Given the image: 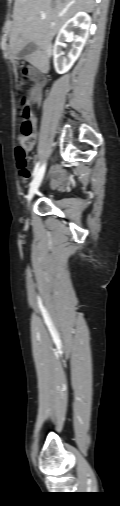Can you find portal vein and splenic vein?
Instances as JSON below:
<instances>
[{
  "instance_id": "obj_1",
  "label": "portal vein and splenic vein",
  "mask_w": 120,
  "mask_h": 506,
  "mask_svg": "<svg viewBox=\"0 0 120 506\" xmlns=\"http://www.w3.org/2000/svg\"><path fill=\"white\" fill-rule=\"evenodd\" d=\"M41 17H42V18H45V17H46V15L43 13V14H41Z\"/></svg>"
}]
</instances>
